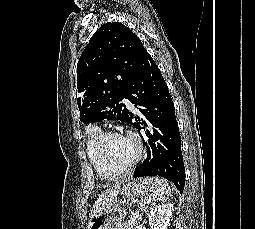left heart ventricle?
<instances>
[{
	"label": "left heart ventricle",
	"mask_w": 255,
	"mask_h": 229,
	"mask_svg": "<svg viewBox=\"0 0 255 229\" xmlns=\"http://www.w3.org/2000/svg\"><path fill=\"white\" fill-rule=\"evenodd\" d=\"M104 151L112 162L125 164L130 162L136 154V144L129 136H116L107 140Z\"/></svg>",
	"instance_id": "left-heart-ventricle-1"
}]
</instances>
